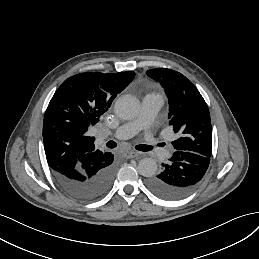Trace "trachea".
Here are the masks:
<instances>
[{"label":"trachea","instance_id":"obj_1","mask_svg":"<svg viewBox=\"0 0 259 259\" xmlns=\"http://www.w3.org/2000/svg\"><path fill=\"white\" fill-rule=\"evenodd\" d=\"M106 146L108 147V148H116V146H117V144L114 142V141H108L107 143H106ZM137 150H139V151H142V152H148V151H150V150H152L153 149V146H151V145H146V144H140V145H137L136 147H135Z\"/></svg>","mask_w":259,"mask_h":259}]
</instances>
